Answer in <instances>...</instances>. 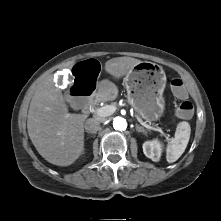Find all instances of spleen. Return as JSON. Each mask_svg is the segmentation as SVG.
<instances>
[{"instance_id":"obj_1","label":"spleen","mask_w":221,"mask_h":221,"mask_svg":"<svg viewBox=\"0 0 221 221\" xmlns=\"http://www.w3.org/2000/svg\"><path fill=\"white\" fill-rule=\"evenodd\" d=\"M191 128L188 122H180L177 125L174 138L171 139L166 148L167 162L177 161L184 153L190 138Z\"/></svg>"}]
</instances>
